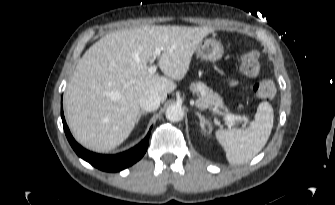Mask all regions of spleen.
I'll use <instances>...</instances> for the list:
<instances>
[{
  "instance_id": "obj_1",
  "label": "spleen",
  "mask_w": 335,
  "mask_h": 205,
  "mask_svg": "<svg viewBox=\"0 0 335 205\" xmlns=\"http://www.w3.org/2000/svg\"><path fill=\"white\" fill-rule=\"evenodd\" d=\"M273 120L272 106L268 102H262L248 128L217 130L216 138L223 146L228 162L234 165L243 164L256 156L269 139Z\"/></svg>"
}]
</instances>
